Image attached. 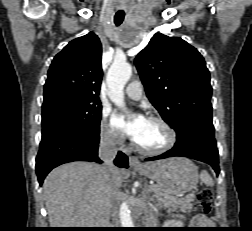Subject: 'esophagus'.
Instances as JSON below:
<instances>
[{
    "label": "esophagus",
    "instance_id": "1",
    "mask_svg": "<svg viewBox=\"0 0 252 231\" xmlns=\"http://www.w3.org/2000/svg\"><path fill=\"white\" fill-rule=\"evenodd\" d=\"M129 164L131 167H141L143 166L142 163L139 161V159L135 156L129 157Z\"/></svg>",
    "mask_w": 252,
    "mask_h": 231
}]
</instances>
